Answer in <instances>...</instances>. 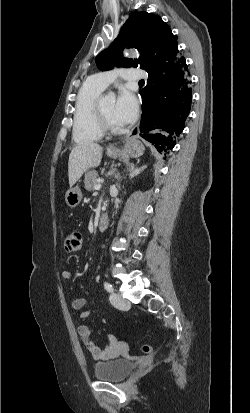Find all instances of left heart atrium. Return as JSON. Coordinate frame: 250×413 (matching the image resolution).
Masks as SVG:
<instances>
[{"instance_id":"left-heart-atrium-1","label":"left heart atrium","mask_w":250,"mask_h":413,"mask_svg":"<svg viewBox=\"0 0 250 413\" xmlns=\"http://www.w3.org/2000/svg\"><path fill=\"white\" fill-rule=\"evenodd\" d=\"M138 115V101L134 94L122 89L115 102L114 116L118 124L126 125L133 122Z\"/></svg>"}]
</instances>
